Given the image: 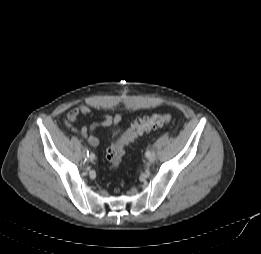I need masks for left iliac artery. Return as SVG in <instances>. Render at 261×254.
<instances>
[{
    "label": "left iliac artery",
    "mask_w": 261,
    "mask_h": 254,
    "mask_svg": "<svg viewBox=\"0 0 261 254\" xmlns=\"http://www.w3.org/2000/svg\"><path fill=\"white\" fill-rule=\"evenodd\" d=\"M151 154H152V153H151V151H149V150L146 151V153H145V155H146L147 158H149V157L151 156Z\"/></svg>",
    "instance_id": "obj_1"
}]
</instances>
